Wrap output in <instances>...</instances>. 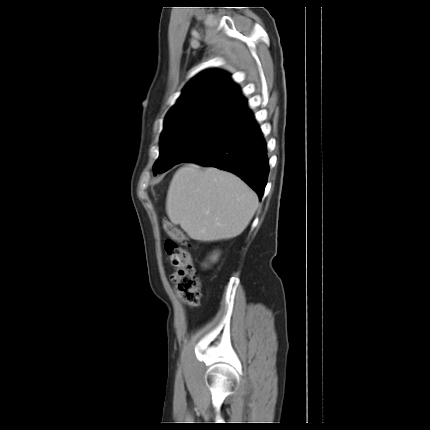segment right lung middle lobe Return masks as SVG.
<instances>
[{
	"instance_id": "dd1d6c3e",
	"label": "right lung middle lobe",
	"mask_w": 430,
	"mask_h": 430,
	"mask_svg": "<svg viewBox=\"0 0 430 430\" xmlns=\"http://www.w3.org/2000/svg\"><path fill=\"white\" fill-rule=\"evenodd\" d=\"M240 119L233 108L222 102H210L169 113L161 135L160 157L153 166L154 175L186 161Z\"/></svg>"
}]
</instances>
